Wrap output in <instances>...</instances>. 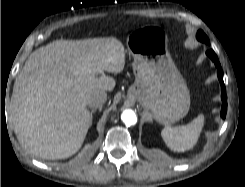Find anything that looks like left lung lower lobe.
I'll return each mask as SVG.
<instances>
[{
    "label": "left lung lower lobe",
    "mask_w": 245,
    "mask_h": 187,
    "mask_svg": "<svg viewBox=\"0 0 245 187\" xmlns=\"http://www.w3.org/2000/svg\"><path fill=\"white\" fill-rule=\"evenodd\" d=\"M206 54L209 58L214 62L215 66L217 67L218 79L221 83V99H222V107H221V117L224 119L226 117L227 112V96H226V89L223 81V72L221 65L219 63L218 57L213 50H208Z\"/></svg>",
    "instance_id": "0a47b994"
}]
</instances>
